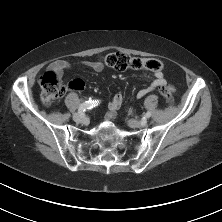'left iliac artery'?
Returning a JSON list of instances; mask_svg holds the SVG:
<instances>
[{
	"label": "left iliac artery",
	"mask_w": 222,
	"mask_h": 222,
	"mask_svg": "<svg viewBox=\"0 0 222 222\" xmlns=\"http://www.w3.org/2000/svg\"><path fill=\"white\" fill-rule=\"evenodd\" d=\"M151 116V112H147L146 114H145V118H149Z\"/></svg>",
	"instance_id": "left-iliac-artery-1"
}]
</instances>
